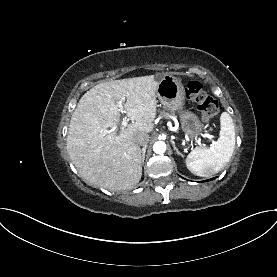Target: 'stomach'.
Instances as JSON below:
<instances>
[{
    "label": "stomach",
    "mask_w": 277,
    "mask_h": 277,
    "mask_svg": "<svg viewBox=\"0 0 277 277\" xmlns=\"http://www.w3.org/2000/svg\"><path fill=\"white\" fill-rule=\"evenodd\" d=\"M156 97L165 109L178 113L187 144L193 143L204 132V124L198 115L184 107L185 89L179 78L164 75L159 80Z\"/></svg>",
    "instance_id": "0dacf381"
}]
</instances>
